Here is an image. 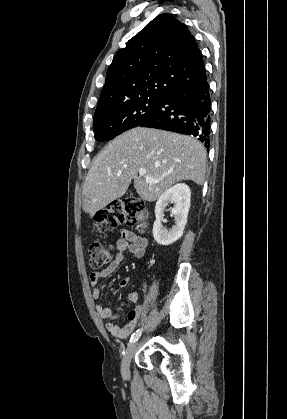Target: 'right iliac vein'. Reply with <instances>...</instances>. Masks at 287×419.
Segmentation results:
<instances>
[{
	"mask_svg": "<svg viewBox=\"0 0 287 419\" xmlns=\"http://www.w3.org/2000/svg\"><path fill=\"white\" fill-rule=\"evenodd\" d=\"M136 345L137 344L134 342V343H131L128 346V349L126 351V354H125V356H124V358L122 360L121 372L126 377L129 376V373H130V371H129L130 361H131V359H132V357H133V355L135 353Z\"/></svg>",
	"mask_w": 287,
	"mask_h": 419,
	"instance_id": "63e3f726",
	"label": "right iliac vein"
}]
</instances>
